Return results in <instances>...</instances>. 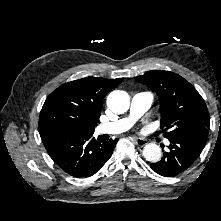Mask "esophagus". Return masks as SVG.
<instances>
[{"label": "esophagus", "mask_w": 221, "mask_h": 221, "mask_svg": "<svg viewBox=\"0 0 221 221\" xmlns=\"http://www.w3.org/2000/svg\"><path fill=\"white\" fill-rule=\"evenodd\" d=\"M133 141H134L135 144L138 145V146H144V145L147 143V141H146L145 139H143V138H137V137H134V138H133Z\"/></svg>", "instance_id": "34e87169"}]
</instances>
